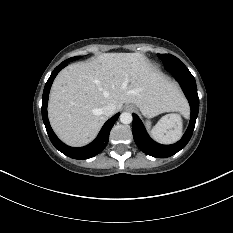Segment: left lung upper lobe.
<instances>
[{
  "label": "left lung upper lobe",
  "mask_w": 233,
  "mask_h": 233,
  "mask_svg": "<svg viewBox=\"0 0 233 233\" xmlns=\"http://www.w3.org/2000/svg\"><path fill=\"white\" fill-rule=\"evenodd\" d=\"M163 61L165 69L169 72L173 71H189L187 67L175 56L171 54H158Z\"/></svg>",
  "instance_id": "obj_1"
}]
</instances>
